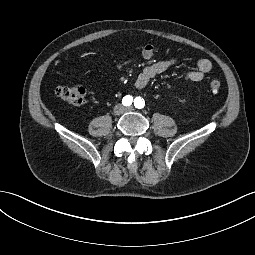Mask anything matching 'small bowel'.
Here are the masks:
<instances>
[{"instance_id":"1","label":"small bowel","mask_w":255,"mask_h":255,"mask_svg":"<svg viewBox=\"0 0 255 255\" xmlns=\"http://www.w3.org/2000/svg\"><path fill=\"white\" fill-rule=\"evenodd\" d=\"M141 54L145 60L152 59L155 55L154 46L152 44L145 45L142 48ZM178 61L179 59L177 57H171L145 66L134 80L135 88H145L153 78L175 66ZM128 63L129 62L120 64L119 67H122ZM211 69L212 62L207 58H200L196 62V69L187 72L186 78L193 82L201 81L204 76L211 71Z\"/></svg>"}]
</instances>
